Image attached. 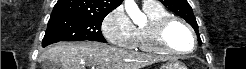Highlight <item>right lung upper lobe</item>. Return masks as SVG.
<instances>
[{"mask_svg": "<svg viewBox=\"0 0 246 69\" xmlns=\"http://www.w3.org/2000/svg\"><path fill=\"white\" fill-rule=\"evenodd\" d=\"M123 0H58L50 18L105 17Z\"/></svg>", "mask_w": 246, "mask_h": 69, "instance_id": "cb5924a9", "label": "right lung upper lobe"}]
</instances>
